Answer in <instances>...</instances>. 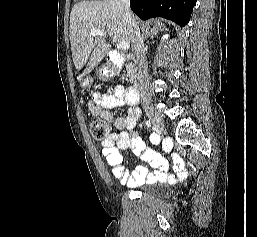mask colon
Segmentation results:
<instances>
[{
	"mask_svg": "<svg viewBox=\"0 0 257 237\" xmlns=\"http://www.w3.org/2000/svg\"><path fill=\"white\" fill-rule=\"evenodd\" d=\"M92 137L97 141H106L110 135V125L102 119H92L89 123Z\"/></svg>",
	"mask_w": 257,
	"mask_h": 237,
	"instance_id": "colon-1",
	"label": "colon"
}]
</instances>
